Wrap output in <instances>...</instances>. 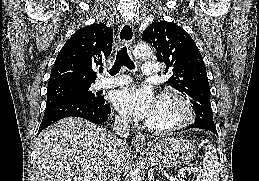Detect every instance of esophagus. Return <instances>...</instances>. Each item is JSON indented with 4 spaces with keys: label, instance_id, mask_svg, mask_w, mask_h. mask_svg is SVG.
I'll use <instances>...</instances> for the list:
<instances>
[{
    "label": "esophagus",
    "instance_id": "1",
    "mask_svg": "<svg viewBox=\"0 0 259 181\" xmlns=\"http://www.w3.org/2000/svg\"><path fill=\"white\" fill-rule=\"evenodd\" d=\"M118 40L121 44H131L134 40V26L130 22H124L119 29ZM133 145L137 149L145 148V138L141 134H137L132 139Z\"/></svg>",
    "mask_w": 259,
    "mask_h": 181
}]
</instances>
